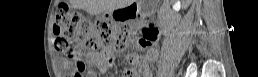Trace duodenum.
I'll return each mask as SVG.
<instances>
[{
    "label": "duodenum",
    "instance_id": "obj_1",
    "mask_svg": "<svg viewBox=\"0 0 258 77\" xmlns=\"http://www.w3.org/2000/svg\"><path fill=\"white\" fill-rule=\"evenodd\" d=\"M123 11H124L125 14H130L131 12L137 13L136 12L137 10H136L135 6L129 7L127 9H124ZM153 29L155 30V28H153Z\"/></svg>",
    "mask_w": 258,
    "mask_h": 77
}]
</instances>
